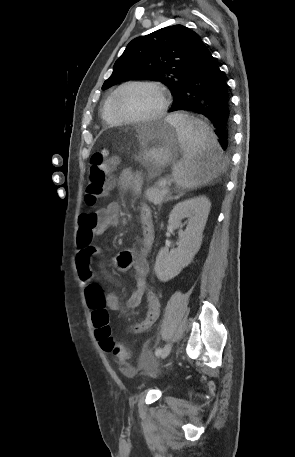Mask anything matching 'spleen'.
<instances>
[{
  "mask_svg": "<svg viewBox=\"0 0 295 457\" xmlns=\"http://www.w3.org/2000/svg\"><path fill=\"white\" fill-rule=\"evenodd\" d=\"M166 120L177 129L183 158L173 167V178L182 188L207 183L224 170L222 151L212 129L200 119L175 113Z\"/></svg>",
  "mask_w": 295,
  "mask_h": 457,
  "instance_id": "obj_1",
  "label": "spleen"
}]
</instances>
